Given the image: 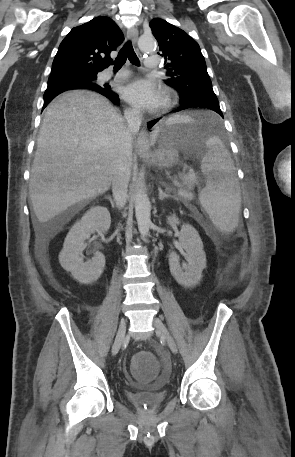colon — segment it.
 <instances>
[{"label": "colon", "instance_id": "obj_1", "mask_svg": "<svg viewBox=\"0 0 295 457\" xmlns=\"http://www.w3.org/2000/svg\"><path fill=\"white\" fill-rule=\"evenodd\" d=\"M238 240L243 243L244 237L238 236ZM132 365L136 383H153L154 378H157L158 365L153 351H134Z\"/></svg>", "mask_w": 295, "mask_h": 457}]
</instances>
